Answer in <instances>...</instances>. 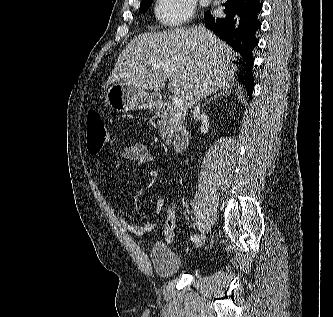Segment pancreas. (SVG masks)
<instances>
[{"instance_id":"1","label":"pancreas","mask_w":333,"mask_h":317,"mask_svg":"<svg viewBox=\"0 0 333 317\" xmlns=\"http://www.w3.org/2000/svg\"><path fill=\"white\" fill-rule=\"evenodd\" d=\"M156 118L159 123V134L167 142L180 127H184L185 116L171 105H167L166 109L157 108Z\"/></svg>"}]
</instances>
